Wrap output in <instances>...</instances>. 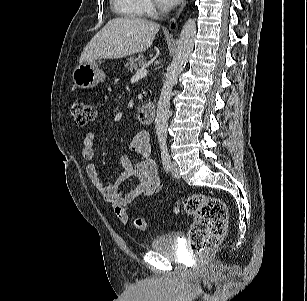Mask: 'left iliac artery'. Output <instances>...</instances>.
I'll return each instance as SVG.
<instances>
[{
	"label": "left iliac artery",
	"instance_id": "left-iliac-artery-1",
	"mask_svg": "<svg viewBox=\"0 0 307 301\" xmlns=\"http://www.w3.org/2000/svg\"><path fill=\"white\" fill-rule=\"evenodd\" d=\"M161 158H162V163H163V167L166 171H169L170 167H171V159H170V155L168 152V148L166 146H162L161 147Z\"/></svg>",
	"mask_w": 307,
	"mask_h": 301
}]
</instances>
